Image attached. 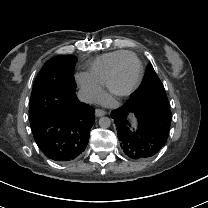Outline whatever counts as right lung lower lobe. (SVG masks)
<instances>
[{
    "label": "right lung lower lobe",
    "mask_w": 208,
    "mask_h": 208,
    "mask_svg": "<svg viewBox=\"0 0 208 208\" xmlns=\"http://www.w3.org/2000/svg\"><path fill=\"white\" fill-rule=\"evenodd\" d=\"M43 115L30 121L39 149L57 162L75 160L86 148L94 124V108L76 95L56 100ZM54 105V106H52ZM52 106V107H51Z\"/></svg>",
    "instance_id": "obj_1"
}]
</instances>
